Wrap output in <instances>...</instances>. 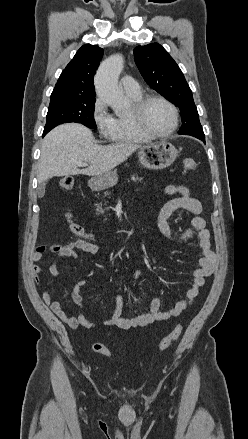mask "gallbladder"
Here are the masks:
<instances>
[{"label": "gallbladder", "instance_id": "1", "mask_svg": "<svg viewBox=\"0 0 248 439\" xmlns=\"http://www.w3.org/2000/svg\"><path fill=\"white\" fill-rule=\"evenodd\" d=\"M45 187H46V183L45 182L38 184L37 194H38L39 198L44 196V194H45Z\"/></svg>", "mask_w": 248, "mask_h": 439}]
</instances>
